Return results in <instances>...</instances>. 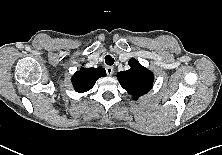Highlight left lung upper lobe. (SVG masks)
Instances as JSON below:
<instances>
[{
	"label": "left lung upper lobe",
	"mask_w": 222,
	"mask_h": 155,
	"mask_svg": "<svg viewBox=\"0 0 222 155\" xmlns=\"http://www.w3.org/2000/svg\"><path fill=\"white\" fill-rule=\"evenodd\" d=\"M128 64L131 68L118 72L117 78L121 86L137 100L150 91L154 75L134 58H131Z\"/></svg>",
	"instance_id": "5c2ea615"
}]
</instances>
